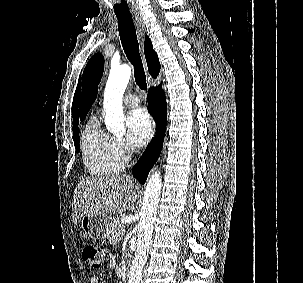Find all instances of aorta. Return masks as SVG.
Here are the masks:
<instances>
[{
  "label": "aorta",
  "instance_id": "obj_1",
  "mask_svg": "<svg viewBox=\"0 0 303 283\" xmlns=\"http://www.w3.org/2000/svg\"><path fill=\"white\" fill-rule=\"evenodd\" d=\"M131 77V68L125 64L111 69L104 92V116L108 131L114 135L125 133L123 95ZM161 193V174L153 172L149 178L137 225V247L132 260L128 283H143L142 272L150 248Z\"/></svg>",
  "mask_w": 303,
  "mask_h": 283
}]
</instances>
